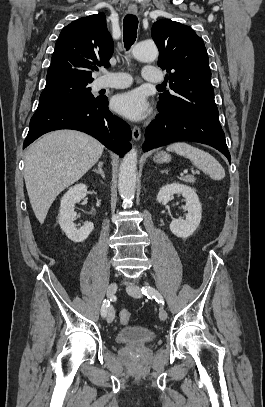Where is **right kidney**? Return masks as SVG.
Listing matches in <instances>:
<instances>
[{
  "label": "right kidney",
  "mask_w": 265,
  "mask_h": 407,
  "mask_svg": "<svg viewBox=\"0 0 265 407\" xmlns=\"http://www.w3.org/2000/svg\"><path fill=\"white\" fill-rule=\"evenodd\" d=\"M87 194V186L85 184H77L71 187L63 196L60 204V213L58 222L62 231L73 242H83L88 238L94 229L92 222H86L81 228L77 229L73 220L76 216L74 211L75 204L85 198Z\"/></svg>",
  "instance_id": "1"
}]
</instances>
